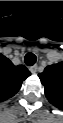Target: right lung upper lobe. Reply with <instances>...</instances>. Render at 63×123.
I'll use <instances>...</instances> for the list:
<instances>
[{"label": "right lung upper lobe", "mask_w": 63, "mask_h": 123, "mask_svg": "<svg viewBox=\"0 0 63 123\" xmlns=\"http://www.w3.org/2000/svg\"><path fill=\"white\" fill-rule=\"evenodd\" d=\"M0 100L4 101L14 96L20 89L22 82L31 75L23 65L15 66L2 56L0 63Z\"/></svg>", "instance_id": "obj_1"}]
</instances>
